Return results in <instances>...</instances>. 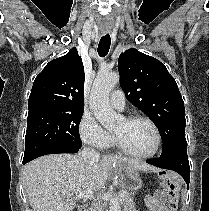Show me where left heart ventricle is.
Masks as SVG:
<instances>
[{
  "mask_svg": "<svg viewBox=\"0 0 209 211\" xmlns=\"http://www.w3.org/2000/svg\"><path fill=\"white\" fill-rule=\"evenodd\" d=\"M126 149L135 154L150 152L155 145L152 128L145 122H127L122 120L114 129Z\"/></svg>",
  "mask_w": 209,
  "mask_h": 211,
  "instance_id": "b2bd125f",
  "label": "left heart ventricle"
}]
</instances>
